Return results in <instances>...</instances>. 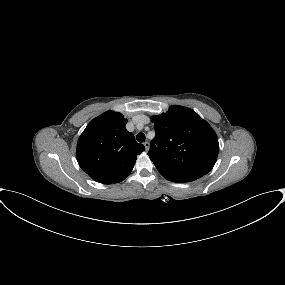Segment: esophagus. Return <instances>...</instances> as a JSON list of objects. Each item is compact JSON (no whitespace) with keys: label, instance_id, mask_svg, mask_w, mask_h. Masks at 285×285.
<instances>
[{"label":"esophagus","instance_id":"obj_1","mask_svg":"<svg viewBox=\"0 0 285 285\" xmlns=\"http://www.w3.org/2000/svg\"><path fill=\"white\" fill-rule=\"evenodd\" d=\"M144 146H145V148H146V151H148V150H149V147H150L149 142H145V143H144Z\"/></svg>","mask_w":285,"mask_h":285}]
</instances>
